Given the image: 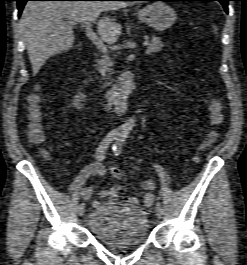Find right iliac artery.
Here are the masks:
<instances>
[{
    "label": "right iliac artery",
    "mask_w": 247,
    "mask_h": 265,
    "mask_svg": "<svg viewBox=\"0 0 247 265\" xmlns=\"http://www.w3.org/2000/svg\"><path fill=\"white\" fill-rule=\"evenodd\" d=\"M121 133L117 130H113L107 134V136L102 140L96 151V158L102 161L105 158L106 151L109 145L117 138H119ZM99 205L98 201H93L92 206L97 207Z\"/></svg>",
    "instance_id": "1"
}]
</instances>
